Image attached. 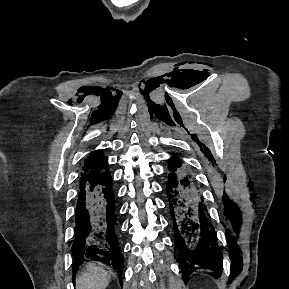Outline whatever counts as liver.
<instances>
[{"label": "liver", "instance_id": "liver-1", "mask_svg": "<svg viewBox=\"0 0 289 289\" xmlns=\"http://www.w3.org/2000/svg\"><path fill=\"white\" fill-rule=\"evenodd\" d=\"M111 279V272L101 264L88 263L76 279V289H105Z\"/></svg>", "mask_w": 289, "mask_h": 289}]
</instances>
